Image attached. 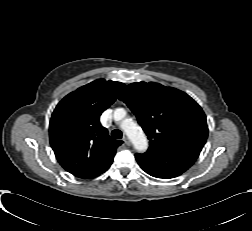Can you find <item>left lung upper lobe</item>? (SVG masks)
<instances>
[{"label":"left lung upper lobe","mask_w":252,"mask_h":231,"mask_svg":"<svg viewBox=\"0 0 252 231\" xmlns=\"http://www.w3.org/2000/svg\"><path fill=\"white\" fill-rule=\"evenodd\" d=\"M150 141L147 152L198 158L208 136L202 108L186 93L159 83L136 82L119 95Z\"/></svg>","instance_id":"5c2ea615"}]
</instances>
